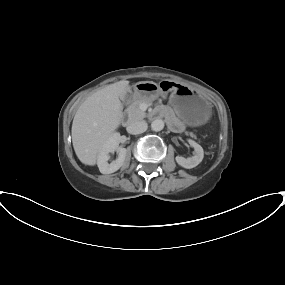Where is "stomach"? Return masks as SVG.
<instances>
[{
	"label": "stomach",
	"mask_w": 285,
	"mask_h": 285,
	"mask_svg": "<svg viewBox=\"0 0 285 285\" xmlns=\"http://www.w3.org/2000/svg\"><path fill=\"white\" fill-rule=\"evenodd\" d=\"M168 92H171V106L184 123L197 126L206 123L211 117V106L207 99L193 89L171 81H162L160 84L138 82L134 86L133 97L152 101L160 95L166 96Z\"/></svg>",
	"instance_id": "0dacf381"
}]
</instances>
